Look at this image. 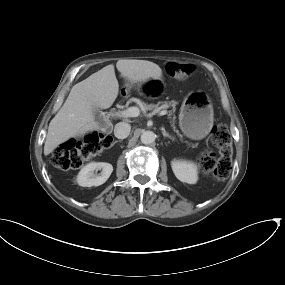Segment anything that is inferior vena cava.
<instances>
[{
    "label": "inferior vena cava",
    "instance_id": "602c4592",
    "mask_svg": "<svg viewBox=\"0 0 285 285\" xmlns=\"http://www.w3.org/2000/svg\"><path fill=\"white\" fill-rule=\"evenodd\" d=\"M130 131H131L130 124L126 122H119L115 125L114 135L118 139H125L130 134Z\"/></svg>",
    "mask_w": 285,
    "mask_h": 285
}]
</instances>
